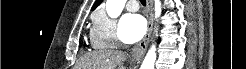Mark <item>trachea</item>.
<instances>
[{
    "label": "trachea",
    "mask_w": 246,
    "mask_h": 69,
    "mask_svg": "<svg viewBox=\"0 0 246 69\" xmlns=\"http://www.w3.org/2000/svg\"><path fill=\"white\" fill-rule=\"evenodd\" d=\"M140 2L142 5H144V6L146 5V0H140Z\"/></svg>",
    "instance_id": "trachea-1"
}]
</instances>
